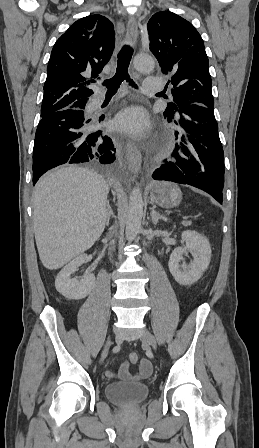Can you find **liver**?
Segmentation results:
<instances>
[{"instance_id": "liver-1", "label": "liver", "mask_w": 259, "mask_h": 448, "mask_svg": "<svg viewBox=\"0 0 259 448\" xmlns=\"http://www.w3.org/2000/svg\"><path fill=\"white\" fill-rule=\"evenodd\" d=\"M109 186L89 168H56L38 180L32 196L39 258L58 270L89 250L104 232Z\"/></svg>"}]
</instances>
